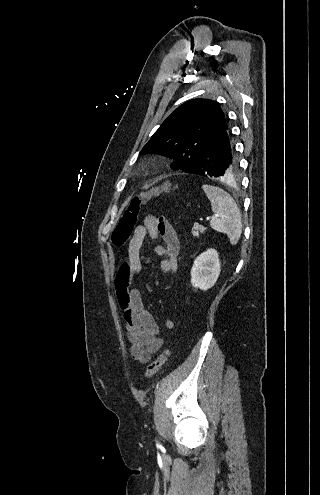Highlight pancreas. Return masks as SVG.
Wrapping results in <instances>:
<instances>
[{
  "label": "pancreas",
  "mask_w": 320,
  "mask_h": 495,
  "mask_svg": "<svg viewBox=\"0 0 320 495\" xmlns=\"http://www.w3.org/2000/svg\"><path fill=\"white\" fill-rule=\"evenodd\" d=\"M206 229L207 228H205L204 226L199 225L198 223H195L193 228H192V234L194 236L198 237L199 233H204Z\"/></svg>",
  "instance_id": "pancreas-1"
}]
</instances>
